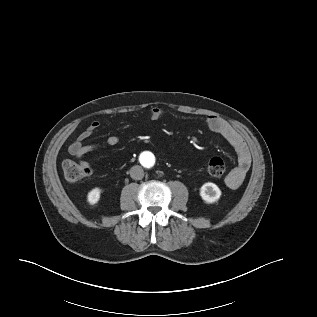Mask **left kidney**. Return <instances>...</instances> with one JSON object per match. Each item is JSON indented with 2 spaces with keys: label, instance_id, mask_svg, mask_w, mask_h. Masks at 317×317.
I'll return each mask as SVG.
<instances>
[{
  "label": "left kidney",
  "instance_id": "obj_1",
  "mask_svg": "<svg viewBox=\"0 0 317 317\" xmlns=\"http://www.w3.org/2000/svg\"><path fill=\"white\" fill-rule=\"evenodd\" d=\"M200 196L206 203H214L220 198L221 191L216 184L208 182L200 188Z\"/></svg>",
  "mask_w": 317,
  "mask_h": 317
}]
</instances>
